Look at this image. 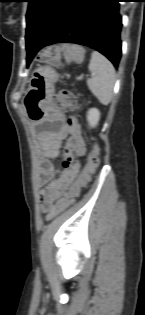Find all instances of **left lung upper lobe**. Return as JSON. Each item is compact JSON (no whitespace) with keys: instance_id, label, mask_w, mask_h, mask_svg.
Here are the masks:
<instances>
[{"instance_id":"left-lung-upper-lobe-1","label":"left lung upper lobe","mask_w":145,"mask_h":315,"mask_svg":"<svg viewBox=\"0 0 145 315\" xmlns=\"http://www.w3.org/2000/svg\"><path fill=\"white\" fill-rule=\"evenodd\" d=\"M73 0H29L26 35L43 41Z\"/></svg>"}]
</instances>
